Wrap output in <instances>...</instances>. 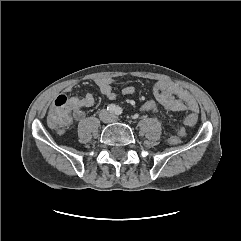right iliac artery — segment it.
Returning a JSON list of instances; mask_svg holds the SVG:
<instances>
[{
    "instance_id": "obj_1",
    "label": "right iliac artery",
    "mask_w": 241,
    "mask_h": 241,
    "mask_svg": "<svg viewBox=\"0 0 241 241\" xmlns=\"http://www.w3.org/2000/svg\"><path fill=\"white\" fill-rule=\"evenodd\" d=\"M115 108H116V106H115L114 104H110V105H108L107 110H108L109 112H114V111H115Z\"/></svg>"
}]
</instances>
